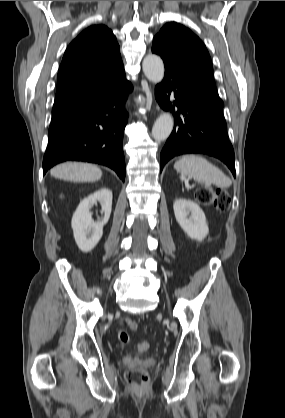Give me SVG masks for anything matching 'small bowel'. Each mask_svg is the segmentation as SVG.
<instances>
[{"instance_id":"small-bowel-1","label":"small bowel","mask_w":285,"mask_h":418,"mask_svg":"<svg viewBox=\"0 0 285 418\" xmlns=\"http://www.w3.org/2000/svg\"><path fill=\"white\" fill-rule=\"evenodd\" d=\"M127 322L132 328H135V324L133 322H131V321H127Z\"/></svg>"}]
</instances>
